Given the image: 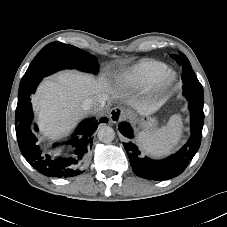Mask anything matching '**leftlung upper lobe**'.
<instances>
[{"label":"left lung upper lobe","mask_w":227,"mask_h":227,"mask_svg":"<svg viewBox=\"0 0 227 227\" xmlns=\"http://www.w3.org/2000/svg\"><path fill=\"white\" fill-rule=\"evenodd\" d=\"M170 56L182 67L183 73L181 78L183 82L184 96L191 94L203 96V87L192 70L187 57L181 52L179 55L171 54Z\"/></svg>","instance_id":"1"}]
</instances>
